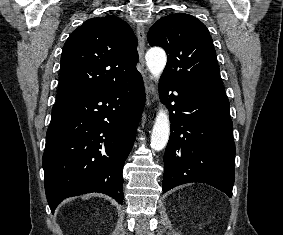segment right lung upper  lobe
Segmentation results:
<instances>
[{
	"label": "right lung upper lobe",
	"instance_id": "obj_1",
	"mask_svg": "<svg viewBox=\"0 0 283 235\" xmlns=\"http://www.w3.org/2000/svg\"><path fill=\"white\" fill-rule=\"evenodd\" d=\"M137 39L114 15L88 19L68 37L56 104L127 81L138 71Z\"/></svg>",
	"mask_w": 283,
	"mask_h": 235
}]
</instances>
